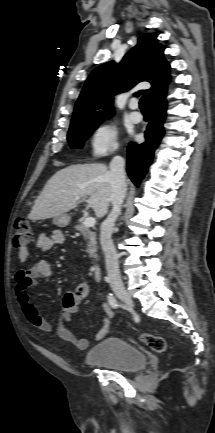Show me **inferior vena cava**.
Here are the masks:
<instances>
[{
	"label": "inferior vena cava",
	"instance_id": "inferior-vena-cava-1",
	"mask_svg": "<svg viewBox=\"0 0 215 433\" xmlns=\"http://www.w3.org/2000/svg\"><path fill=\"white\" fill-rule=\"evenodd\" d=\"M124 166L125 161L121 156H114L110 162L109 177L113 208L106 220L102 223L100 231V243L105 254L108 278L112 289L116 292L124 291V285L121 280L118 256L111 235L115 221L121 212V206L127 191Z\"/></svg>",
	"mask_w": 215,
	"mask_h": 433
}]
</instances>
